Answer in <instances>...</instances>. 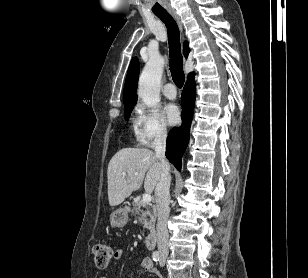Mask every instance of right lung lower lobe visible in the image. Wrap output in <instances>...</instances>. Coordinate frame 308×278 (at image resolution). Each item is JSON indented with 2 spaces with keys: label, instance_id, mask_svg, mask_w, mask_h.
<instances>
[{
  "label": "right lung lower lobe",
  "instance_id": "98d812e1",
  "mask_svg": "<svg viewBox=\"0 0 308 278\" xmlns=\"http://www.w3.org/2000/svg\"><path fill=\"white\" fill-rule=\"evenodd\" d=\"M195 96L196 85L194 76H191L188 78L182 92V125L171 130L166 144V157L178 170L181 169L182 155L189 141Z\"/></svg>",
  "mask_w": 308,
  "mask_h": 278
}]
</instances>
